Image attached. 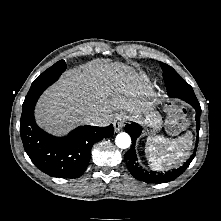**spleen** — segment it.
Here are the masks:
<instances>
[{
  "label": "spleen",
  "instance_id": "obj_1",
  "mask_svg": "<svg viewBox=\"0 0 221 221\" xmlns=\"http://www.w3.org/2000/svg\"><path fill=\"white\" fill-rule=\"evenodd\" d=\"M190 133L176 140L166 139L163 136L149 137L145 146V153L150 166L154 170L171 168L184 162L189 156L192 146Z\"/></svg>",
  "mask_w": 221,
  "mask_h": 221
}]
</instances>
